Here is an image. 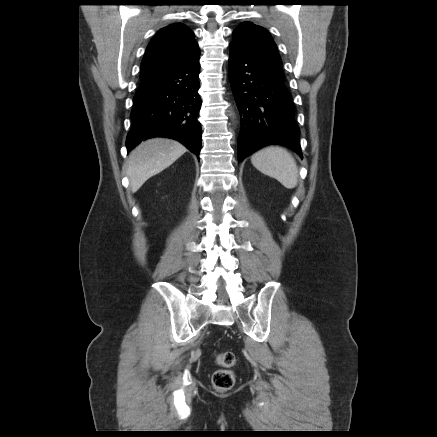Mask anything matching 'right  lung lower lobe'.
<instances>
[{"instance_id":"obj_1","label":"right lung lower lobe","mask_w":437,"mask_h":437,"mask_svg":"<svg viewBox=\"0 0 437 437\" xmlns=\"http://www.w3.org/2000/svg\"><path fill=\"white\" fill-rule=\"evenodd\" d=\"M199 70L198 56L140 83L133 98L132 127L126 139L128 151L142 140L168 137L200 154Z\"/></svg>"}]
</instances>
